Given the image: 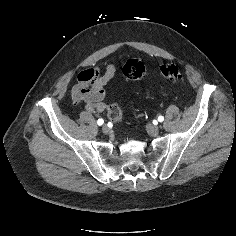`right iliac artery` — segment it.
<instances>
[{"label": "right iliac artery", "instance_id": "obj_1", "mask_svg": "<svg viewBox=\"0 0 236 236\" xmlns=\"http://www.w3.org/2000/svg\"><path fill=\"white\" fill-rule=\"evenodd\" d=\"M104 123V120L102 118L98 119L97 124L101 126Z\"/></svg>", "mask_w": 236, "mask_h": 236}]
</instances>
